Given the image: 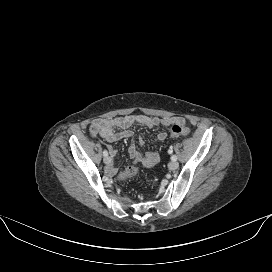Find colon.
Masks as SVG:
<instances>
[{
    "mask_svg": "<svg viewBox=\"0 0 272 272\" xmlns=\"http://www.w3.org/2000/svg\"><path fill=\"white\" fill-rule=\"evenodd\" d=\"M190 133V130L181 124H174L171 127V136L172 137H183L187 136ZM138 174V169L134 166H129L125 170L119 173V180L124 181L130 178H133Z\"/></svg>",
    "mask_w": 272,
    "mask_h": 272,
    "instance_id": "obj_1",
    "label": "colon"
}]
</instances>
